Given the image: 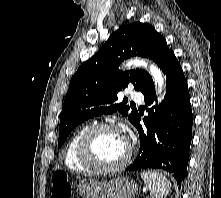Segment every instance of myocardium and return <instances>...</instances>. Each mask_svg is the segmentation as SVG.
<instances>
[{
  "mask_svg": "<svg viewBox=\"0 0 221 198\" xmlns=\"http://www.w3.org/2000/svg\"><path fill=\"white\" fill-rule=\"evenodd\" d=\"M113 130L121 132L119 127L111 123H97L86 129L78 143V157L83 165L97 173H113L127 166L132 157V146L127 143V152L124 158L114 165L99 163L93 154V141L95 136L102 131Z\"/></svg>",
  "mask_w": 221,
  "mask_h": 198,
  "instance_id": "myocardium-1",
  "label": "myocardium"
}]
</instances>
